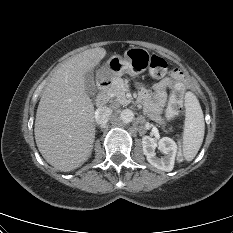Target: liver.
I'll list each match as a JSON object with an SVG mask.
<instances>
[{
  "mask_svg": "<svg viewBox=\"0 0 233 233\" xmlns=\"http://www.w3.org/2000/svg\"><path fill=\"white\" fill-rule=\"evenodd\" d=\"M106 56L94 48L71 57L53 74L40 99L35 140L43 158L69 172L91 156L95 139L94 106L85 90L86 74Z\"/></svg>",
  "mask_w": 233,
  "mask_h": 233,
  "instance_id": "6515ba94",
  "label": "liver"
}]
</instances>
